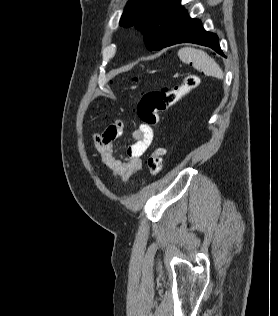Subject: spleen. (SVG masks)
Instances as JSON below:
<instances>
[{"mask_svg":"<svg viewBox=\"0 0 278 316\" xmlns=\"http://www.w3.org/2000/svg\"><path fill=\"white\" fill-rule=\"evenodd\" d=\"M178 56L182 62L192 63L195 69L204 72L207 76L223 78V71L220 66L202 50L184 47L178 51Z\"/></svg>","mask_w":278,"mask_h":316,"instance_id":"obj_1","label":"spleen"}]
</instances>
